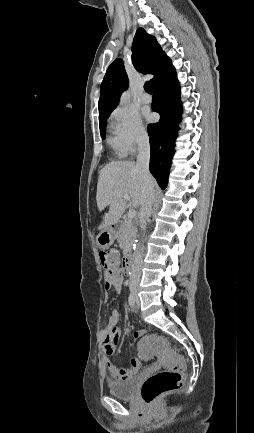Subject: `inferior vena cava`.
<instances>
[{
    "mask_svg": "<svg viewBox=\"0 0 254 433\" xmlns=\"http://www.w3.org/2000/svg\"><path fill=\"white\" fill-rule=\"evenodd\" d=\"M150 144L147 135H141L138 140V156L136 166L140 169L143 178V196L140 210L141 230H146V221L151 215L154 203V182L149 172ZM143 254L135 252L131 265L130 288L138 287L141 277Z\"/></svg>",
    "mask_w": 254,
    "mask_h": 433,
    "instance_id": "obj_1",
    "label": "inferior vena cava"
}]
</instances>
